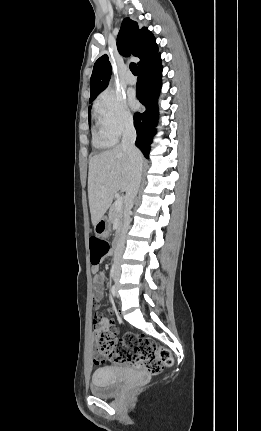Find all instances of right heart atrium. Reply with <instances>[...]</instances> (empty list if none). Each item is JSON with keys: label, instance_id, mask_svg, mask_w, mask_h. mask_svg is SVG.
I'll return each mask as SVG.
<instances>
[{"label": "right heart atrium", "instance_id": "obj_1", "mask_svg": "<svg viewBox=\"0 0 261 431\" xmlns=\"http://www.w3.org/2000/svg\"><path fill=\"white\" fill-rule=\"evenodd\" d=\"M95 109L104 129L116 138L133 125V116L125 99L112 89H106L98 96Z\"/></svg>", "mask_w": 261, "mask_h": 431}]
</instances>
